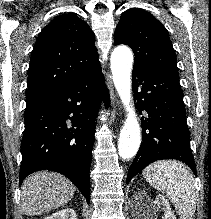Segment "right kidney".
I'll list each match as a JSON object with an SVG mask.
<instances>
[{"label":"right kidney","mask_w":211,"mask_h":219,"mask_svg":"<svg viewBox=\"0 0 211 219\" xmlns=\"http://www.w3.org/2000/svg\"><path fill=\"white\" fill-rule=\"evenodd\" d=\"M45 219H77V215L74 209L66 208L53 213Z\"/></svg>","instance_id":"1"}]
</instances>
